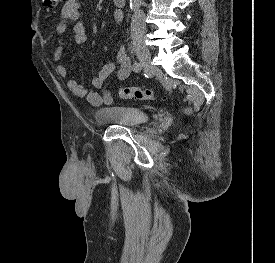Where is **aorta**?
Instances as JSON below:
<instances>
[{"mask_svg": "<svg viewBox=\"0 0 275 263\" xmlns=\"http://www.w3.org/2000/svg\"><path fill=\"white\" fill-rule=\"evenodd\" d=\"M142 5V0H130V9L135 11Z\"/></svg>", "mask_w": 275, "mask_h": 263, "instance_id": "obj_1", "label": "aorta"}]
</instances>
